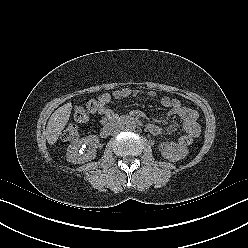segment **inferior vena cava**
Wrapping results in <instances>:
<instances>
[{
	"mask_svg": "<svg viewBox=\"0 0 248 248\" xmlns=\"http://www.w3.org/2000/svg\"><path fill=\"white\" fill-rule=\"evenodd\" d=\"M121 129H122L121 127L116 128L114 132L120 131Z\"/></svg>",
	"mask_w": 248,
	"mask_h": 248,
	"instance_id": "602c4592",
	"label": "inferior vena cava"
}]
</instances>
